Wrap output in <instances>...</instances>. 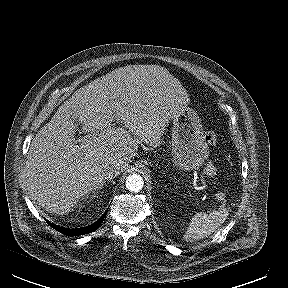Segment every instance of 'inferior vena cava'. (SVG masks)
Listing matches in <instances>:
<instances>
[{
	"label": "inferior vena cava",
	"mask_w": 288,
	"mask_h": 288,
	"mask_svg": "<svg viewBox=\"0 0 288 288\" xmlns=\"http://www.w3.org/2000/svg\"><path fill=\"white\" fill-rule=\"evenodd\" d=\"M122 171V165L120 163H105L101 166V168L99 169V175L103 178V179H113L115 178L117 175L120 174V172Z\"/></svg>",
	"instance_id": "602c4592"
}]
</instances>
